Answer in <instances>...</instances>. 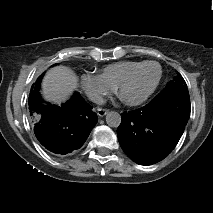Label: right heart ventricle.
Listing matches in <instances>:
<instances>
[{"label":"right heart ventricle","mask_w":213,"mask_h":213,"mask_svg":"<svg viewBox=\"0 0 213 213\" xmlns=\"http://www.w3.org/2000/svg\"><path fill=\"white\" fill-rule=\"evenodd\" d=\"M138 61H118L101 69L100 76L116 89L121 79L136 65Z\"/></svg>","instance_id":"e07e8e85"}]
</instances>
